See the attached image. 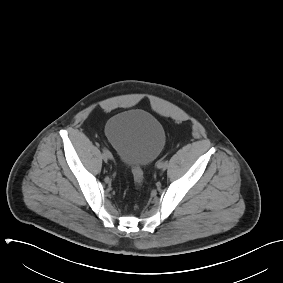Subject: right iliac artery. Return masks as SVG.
I'll return each mask as SVG.
<instances>
[{
	"instance_id": "82829eb1",
	"label": "right iliac artery",
	"mask_w": 283,
	"mask_h": 283,
	"mask_svg": "<svg viewBox=\"0 0 283 283\" xmlns=\"http://www.w3.org/2000/svg\"><path fill=\"white\" fill-rule=\"evenodd\" d=\"M103 153L111 154L106 148H103ZM112 155V154H111Z\"/></svg>"
}]
</instances>
